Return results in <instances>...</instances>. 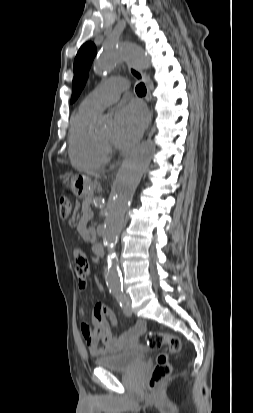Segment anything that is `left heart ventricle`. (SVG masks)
I'll return each mask as SVG.
<instances>
[{"mask_svg": "<svg viewBox=\"0 0 253 413\" xmlns=\"http://www.w3.org/2000/svg\"><path fill=\"white\" fill-rule=\"evenodd\" d=\"M99 137H100L101 139L109 142V141L111 140V138H112V133H111V131H106V132L100 134Z\"/></svg>", "mask_w": 253, "mask_h": 413, "instance_id": "obj_1", "label": "left heart ventricle"}]
</instances>
